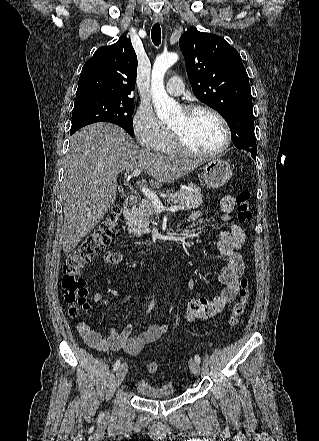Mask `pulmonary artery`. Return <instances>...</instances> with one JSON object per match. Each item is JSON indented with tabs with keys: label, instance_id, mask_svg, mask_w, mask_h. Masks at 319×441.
<instances>
[{
	"label": "pulmonary artery",
	"instance_id": "e3ab8cb5",
	"mask_svg": "<svg viewBox=\"0 0 319 441\" xmlns=\"http://www.w3.org/2000/svg\"><path fill=\"white\" fill-rule=\"evenodd\" d=\"M166 91L172 96H179L184 91V85L180 77H171L166 84Z\"/></svg>",
	"mask_w": 319,
	"mask_h": 441
}]
</instances>
